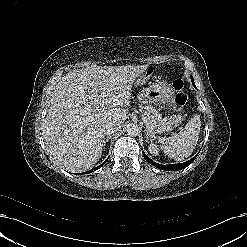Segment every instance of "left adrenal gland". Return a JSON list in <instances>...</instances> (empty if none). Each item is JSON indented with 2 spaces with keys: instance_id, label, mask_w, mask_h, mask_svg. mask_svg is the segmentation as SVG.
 Returning <instances> with one entry per match:
<instances>
[{
  "instance_id": "a2214340",
  "label": "left adrenal gland",
  "mask_w": 247,
  "mask_h": 247,
  "mask_svg": "<svg viewBox=\"0 0 247 247\" xmlns=\"http://www.w3.org/2000/svg\"><path fill=\"white\" fill-rule=\"evenodd\" d=\"M144 132H145V135H146V139L148 140V138H149L150 134H149V132H148V130H147V129H144Z\"/></svg>"
}]
</instances>
